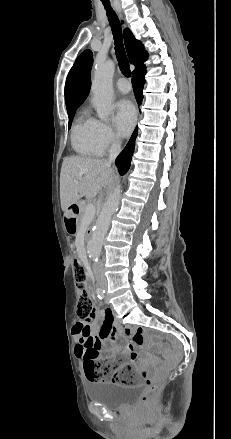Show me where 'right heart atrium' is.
<instances>
[{"instance_id":"1","label":"right heart atrium","mask_w":231,"mask_h":439,"mask_svg":"<svg viewBox=\"0 0 231 439\" xmlns=\"http://www.w3.org/2000/svg\"><path fill=\"white\" fill-rule=\"evenodd\" d=\"M94 140L101 152L118 144V137L106 122L94 119Z\"/></svg>"}]
</instances>
